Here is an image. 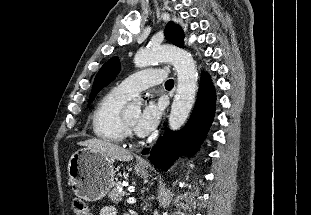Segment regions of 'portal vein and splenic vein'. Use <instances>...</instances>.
I'll use <instances>...</instances> for the list:
<instances>
[{
    "label": "portal vein and splenic vein",
    "mask_w": 311,
    "mask_h": 215,
    "mask_svg": "<svg viewBox=\"0 0 311 215\" xmlns=\"http://www.w3.org/2000/svg\"><path fill=\"white\" fill-rule=\"evenodd\" d=\"M135 202H136V199L133 198V197H129V198L127 199V203H128V204H134Z\"/></svg>",
    "instance_id": "portal-vein-and-splenic-vein-1"
}]
</instances>
